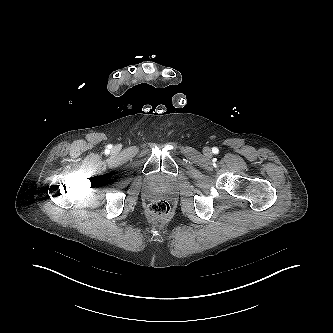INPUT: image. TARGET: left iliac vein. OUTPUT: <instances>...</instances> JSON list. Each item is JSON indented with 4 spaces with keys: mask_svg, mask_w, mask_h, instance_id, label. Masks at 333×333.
Listing matches in <instances>:
<instances>
[{
    "mask_svg": "<svg viewBox=\"0 0 333 333\" xmlns=\"http://www.w3.org/2000/svg\"><path fill=\"white\" fill-rule=\"evenodd\" d=\"M204 153H205V155L210 156V155H211V149L208 148V147H206V148L204 149Z\"/></svg>",
    "mask_w": 333,
    "mask_h": 333,
    "instance_id": "1",
    "label": "left iliac vein"
}]
</instances>
